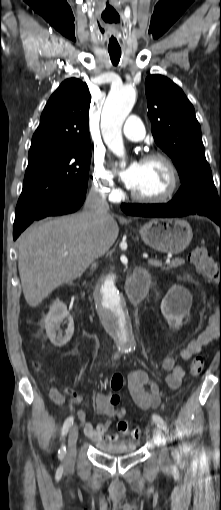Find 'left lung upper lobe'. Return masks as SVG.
I'll use <instances>...</instances> for the list:
<instances>
[{
    "label": "left lung upper lobe",
    "instance_id": "left-lung-upper-lobe-1",
    "mask_svg": "<svg viewBox=\"0 0 221 510\" xmlns=\"http://www.w3.org/2000/svg\"><path fill=\"white\" fill-rule=\"evenodd\" d=\"M145 91L154 140L173 160L182 184L170 203L221 209V192L219 196L205 158L194 107L184 92L162 75L148 76Z\"/></svg>",
    "mask_w": 221,
    "mask_h": 510
}]
</instances>
